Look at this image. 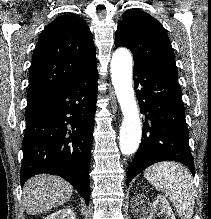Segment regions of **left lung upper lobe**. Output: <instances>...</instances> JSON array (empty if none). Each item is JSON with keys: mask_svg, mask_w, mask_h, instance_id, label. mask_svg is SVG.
Masks as SVG:
<instances>
[{"mask_svg": "<svg viewBox=\"0 0 211 219\" xmlns=\"http://www.w3.org/2000/svg\"><path fill=\"white\" fill-rule=\"evenodd\" d=\"M115 46L128 47L134 63L176 68L175 55L163 26L148 13L127 10L119 21Z\"/></svg>", "mask_w": 211, "mask_h": 219, "instance_id": "obj_1", "label": "left lung upper lobe"}]
</instances>
